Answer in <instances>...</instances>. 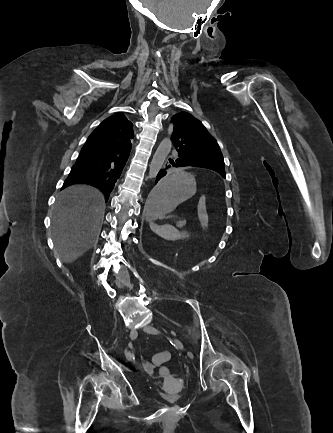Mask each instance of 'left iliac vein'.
I'll return each instance as SVG.
<instances>
[{"mask_svg":"<svg viewBox=\"0 0 333 433\" xmlns=\"http://www.w3.org/2000/svg\"><path fill=\"white\" fill-rule=\"evenodd\" d=\"M144 331L147 332V333H149V334H158L159 333V331L156 328H154L153 326H151V325L145 326L144 327ZM173 342H174L175 347L178 350H183V344H182V342L179 339L174 338Z\"/></svg>","mask_w":333,"mask_h":433,"instance_id":"left-iliac-vein-1","label":"left iliac vein"}]
</instances>
